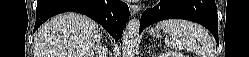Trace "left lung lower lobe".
Returning a JSON list of instances; mask_svg holds the SVG:
<instances>
[{
  "mask_svg": "<svg viewBox=\"0 0 249 57\" xmlns=\"http://www.w3.org/2000/svg\"><path fill=\"white\" fill-rule=\"evenodd\" d=\"M185 19L206 27L218 41V15L214 0H161L154 8L146 9L140 21V32L164 19Z\"/></svg>",
  "mask_w": 249,
  "mask_h": 57,
  "instance_id": "left-lung-lower-lobe-1",
  "label": "left lung lower lobe"
}]
</instances>
